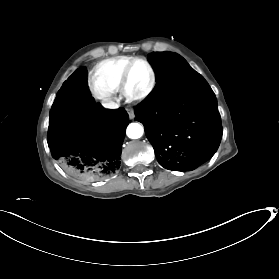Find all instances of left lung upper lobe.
<instances>
[{"mask_svg":"<svg viewBox=\"0 0 279 279\" xmlns=\"http://www.w3.org/2000/svg\"><path fill=\"white\" fill-rule=\"evenodd\" d=\"M149 60L156 71V86L144 100L147 104L170 97L190 79L199 75L185 59L176 53H151Z\"/></svg>","mask_w":279,"mask_h":279,"instance_id":"1","label":"left lung upper lobe"}]
</instances>
